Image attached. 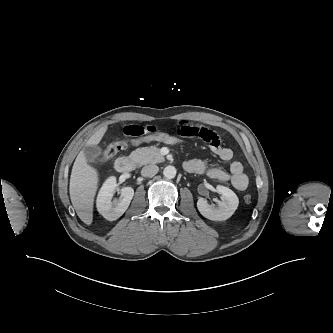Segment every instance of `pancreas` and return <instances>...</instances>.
<instances>
[{
	"instance_id": "obj_1",
	"label": "pancreas",
	"mask_w": 333,
	"mask_h": 333,
	"mask_svg": "<svg viewBox=\"0 0 333 333\" xmlns=\"http://www.w3.org/2000/svg\"><path fill=\"white\" fill-rule=\"evenodd\" d=\"M130 159L139 166L145 164H156L165 160L164 156L156 146L140 147L130 154Z\"/></svg>"
}]
</instances>
